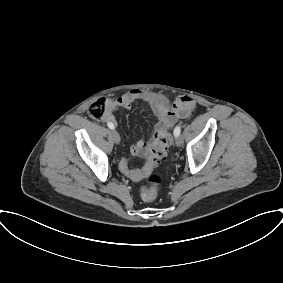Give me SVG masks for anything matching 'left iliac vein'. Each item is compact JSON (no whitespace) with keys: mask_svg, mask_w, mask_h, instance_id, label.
Segmentation results:
<instances>
[{"mask_svg":"<svg viewBox=\"0 0 283 283\" xmlns=\"http://www.w3.org/2000/svg\"><path fill=\"white\" fill-rule=\"evenodd\" d=\"M175 144L178 147H180L183 144V137L181 135L176 137Z\"/></svg>","mask_w":283,"mask_h":283,"instance_id":"obj_1","label":"left iliac vein"}]
</instances>
